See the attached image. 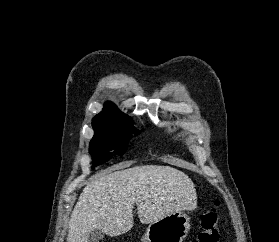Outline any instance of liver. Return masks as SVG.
Wrapping results in <instances>:
<instances>
[{"mask_svg":"<svg viewBox=\"0 0 279 242\" xmlns=\"http://www.w3.org/2000/svg\"><path fill=\"white\" fill-rule=\"evenodd\" d=\"M129 166H113L86 185L72 211L67 242H88L95 229L109 236L124 234L133 227L135 204L143 224L197 207L194 183L182 171L170 166Z\"/></svg>","mask_w":279,"mask_h":242,"instance_id":"1","label":"liver"}]
</instances>
